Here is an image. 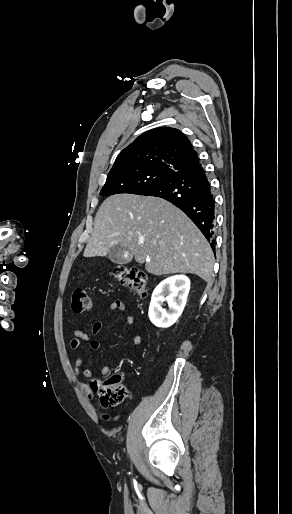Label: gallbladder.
<instances>
[{"mask_svg":"<svg viewBox=\"0 0 292 514\" xmlns=\"http://www.w3.org/2000/svg\"><path fill=\"white\" fill-rule=\"evenodd\" d=\"M107 258L114 262V264H126L127 260L124 256V248L120 244H115L113 248H110V252L107 254Z\"/></svg>","mask_w":292,"mask_h":514,"instance_id":"1","label":"gallbladder"}]
</instances>
